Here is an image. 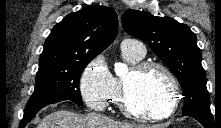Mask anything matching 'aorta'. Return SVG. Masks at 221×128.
<instances>
[{"label": "aorta", "mask_w": 221, "mask_h": 128, "mask_svg": "<svg viewBox=\"0 0 221 128\" xmlns=\"http://www.w3.org/2000/svg\"><path fill=\"white\" fill-rule=\"evenodd\" d=\"M128 68L127 65L123 64V63H117L115 65V73L118 76H123L127 73Z\"/></svg>", "instance_id": "762f6f07"}]
</instances>
